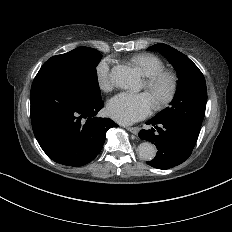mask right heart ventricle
I'll return each instance as SVG.
<instances>
[{
	"label": "right heart ventricle",
	"instance_id": "1",
	"mask_svg": "<svg viewBox=\"0 0 232 232\" xmlns=\"http://www.w3.org/2000/svg\"><path fill=\"white\" fill-rule=\"evenodd\" d=\"M144 77L153 76L165 69L164 63L153 54H139L133 58Z\"/></svg>",
	"mask_w": 232,
	"mask_h": 232
}]
</instances>
